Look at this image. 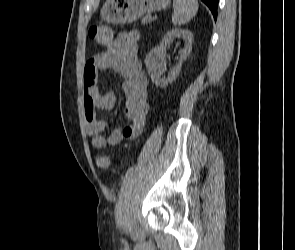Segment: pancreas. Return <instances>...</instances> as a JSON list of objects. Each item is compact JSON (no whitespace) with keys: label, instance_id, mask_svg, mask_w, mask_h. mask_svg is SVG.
<instances>
[{"label":"pancreas","instance_id":"cf45deb5","mask_svg":"<svg viewBox=\"0 0 295 250\" xmlns=\"http://www.w3.org/2000/svg\"><path fill=\"white\" fill-rule=\"evenodd\" d=\"M149 21H151V16L150 15H146L143 19H142V23H147V22H149Z\"/></svg>","mask_w":295,"mask_h":250}]
</instances>
